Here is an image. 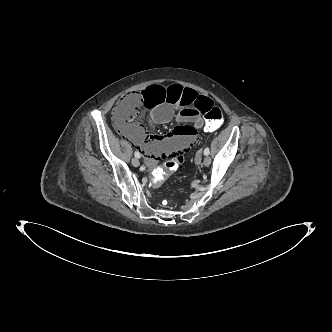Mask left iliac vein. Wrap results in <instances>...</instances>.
I'll return each instance as SVG.
<instances>
[{
	"mask_svg": "<svg viewBox=\"0 0 332 332\" xmlns=\"http://www.w3.org/2000/svg\"><path fill=\"white\" fill-rule=\"evenodd\" d=\"M203 164H204L205 166H209V165L211 164V158L208 157V156H206V157L204 158V160H203Z\"/></svg>",
	"mask_w": 332,
	"mask_h": 332,
	"instance_id": "obj_1",
	"label": "left iliac vein"
}]
</instances>
